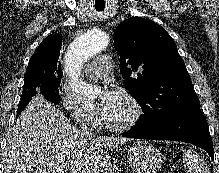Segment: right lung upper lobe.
Wrapping results in <instances>:
<instances>
[{"mask_svg": "<svg viewBox=\"0 0 219 173\" xmlns=\"http://www.w3.org/2000/svg\"><path fill=\"white\" fill-rule=\"evenodd\" d=\"M61 46L62 37L60 35H49L35 50L29 65L55 67L62 75L59 61Z\"/></svg>", "mask_w": 219, "mask_h": 173, "instance_id": "right-lung-upper-lobe-1", "label": "right lung upper lobe"}]
</instances>
